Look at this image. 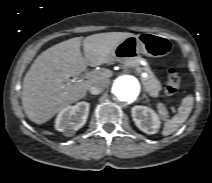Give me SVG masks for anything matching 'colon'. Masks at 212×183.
<instances>
[{
    "label": "colon",
    "instance_id": "5ec220e1",
    "mask_svg": "<svg viewBox=\"0 0 212 183\" xmlns=\"http://www.w3.org/2000/svg\"><path fill=\"white\" fill-rule=\"evenodd\" d=\"M181 78L175 69H170L167 74V82L165 86V93L167 96L174 95L180 86Z\"/></svg>",
    "mask_w": 212,
    "mask_h": 183
}]
</instances>
